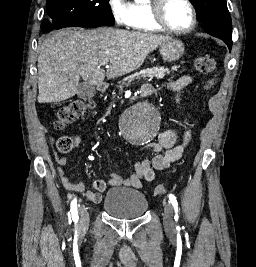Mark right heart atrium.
<instances>
[{"label":"right heart atrium","mask_w":256,"mask_h":267,"mask_svg":"<svg viewBox=\"0 0 256 267\" xmlns=\"http://www.w3.org/2000/svg\"><path fill=\"white\" fill-rule=\"evenodd\" d=\"M115 22H121L123 28H130L131 27V17L128 15H121L115 13L114 15Z\"/></svg>","instance_id":"obj_1"}]
</instances>
